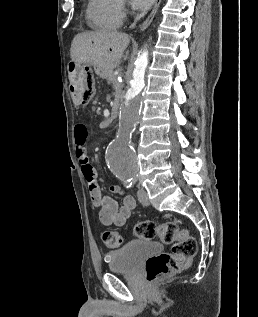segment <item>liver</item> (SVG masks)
Wrapping results in <instances>:
<instances>
[{
	"label": "liver",
	"mask_w": 258,
	"mask_h": 317,
	"mask_svg": "<svg viewBox=\"0 0 258 317\" xmlns=\"http://www.w3.org/2000/svg\"><path fill=\"white\" fill-rule=\"evenodd\" d=\"M130 42L129 34L118 30H92L78 32L70 48L73 62H89L103 72H111Z\"/></svg>",
	"instance_id": "obj_1"
}]
</instances>
